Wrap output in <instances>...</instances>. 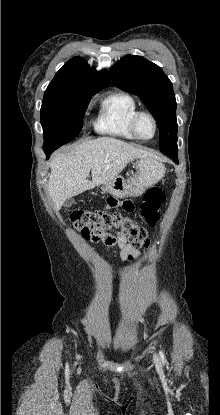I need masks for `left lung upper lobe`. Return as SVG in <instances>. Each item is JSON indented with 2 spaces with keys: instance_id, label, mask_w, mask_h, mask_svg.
Segmentation results:
<instances>
[{
  "instance_id": "left-lung-upper-lobe-1",
  "label": "left lung upper lobe",
  "mask_w": 220,
  "mask_h": 415,
  "mask_svg": "<svg viewBox=\"0 0 220 415\" xmlns=\"http://www.w3.org/2000/svg\"><path fill=\"white\" fill-rule=\"evenodd\" d=\"M110 74L117 87L140 96L154 116L160 150L178 152L177 104L172 83L162 69L141 56L126 55L111 68Z\"/></svg>"
}]
</instances>
